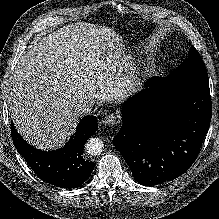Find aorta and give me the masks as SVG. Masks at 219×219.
Here are the masks:
<instances>
[{"mask_svg": "<svg viewBox=\"0 0 219 219\" xmlns=\"http://www.w3.org/2000/svg\"><path fill=\"white\" fill-rule=\"evenodd\" d=\"M104 149V143L99 138H90L85 144V150L89 155H99Z\"/></svg>", "mask_w": 219, "mask_h": 219, "instance_id": "762f6f07", "label": "aorta"}]
</instances>
